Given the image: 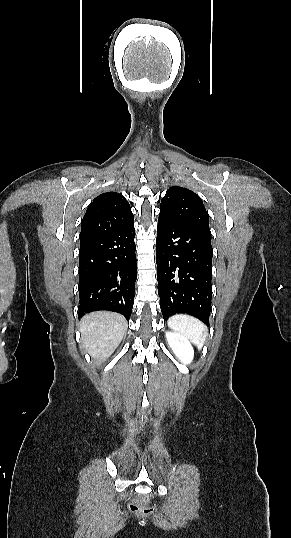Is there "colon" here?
Segmentation results:
<instances>
[{"instance_id":"1","label":"colon","mask_w":291,"mask_h":538,"mask_svg":"<svg viewBox=\"0 0 291 538\" xmlns=\"http://www.w3.org/2000/svg\"><path fill=\"white\" fill-rule=\"evenodd\" d=\"M130 508L133 512H136L143 516L149 515L152 512V507L148 504L145 498L134 500L131 503Z\"/></svg>"}]
</instances>
